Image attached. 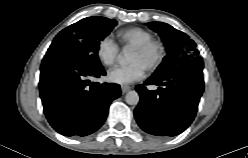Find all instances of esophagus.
Instances as JSON below:
<instances>
[{
	"mask_svg": "<svg viewBox=\"0 0 248 158\" xmlns=\"http://www.w3.org/2000/svg\"><path fill=\"white\" fill-rule=\"evenodd\" d=\"M130 89H131V87L128 85H122L121 86V90L123 93H127Z\"/></svg>",
	"mask_w": 248,
	"mask_h": 158,
	"instance_id": "esophagus-1",
	"label": "esophagus"
}]
</instances>
